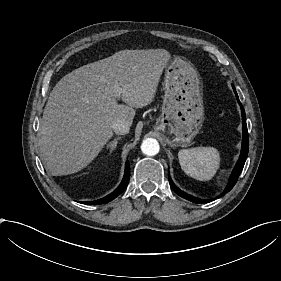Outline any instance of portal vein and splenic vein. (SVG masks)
Returning <instances> with one entry per match:
<instances>
[{"mask_svg": "<svg viewBox=\"0 0 281 281\" xmlns=\"http://www.w3.org/2000/svg\"><path fill=\"white\" fill-rule=\"evenodd\" d=\"M122 92L121 87L118 85V83L116 84L115 88H114V97L116 99H120V94Z\"/></svg>", "mask_w": 281, "mask_h": 281, "instance_id": "1", "label": "portal vein and splenic vein"}]
</instances>
